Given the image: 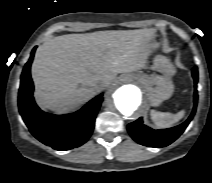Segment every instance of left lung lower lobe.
Masks as SVG:
<instances>
[{"label":"left lung lower lobe","mask_w":212,"mask_h":183,"mask_svg":"<svg viewBox=\"0 0 212 183\" xmlns=\"http://www.w3.org/2000/svg\"><path fill=\"white\" fill-rule=\"evenodd\" d=\"M192 75L195 81V93H194V108L190 117L181 125H178L169 129L153 130L143 125L142 118L128 124L127 129L131 137L141 145L148 147H165L174 142L186 129L190 121L192 120L197 105V82H198V71L197 67L192 70Z\"/></svg>","instance_id":"1"}]
</instances>
